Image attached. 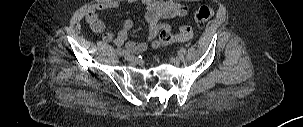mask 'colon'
Segmentation results:
<instances>
[{
  "instance_id": "5ec220e1",
  "label": "colon",
  "mask_w": 303,
  "mask_h": 127,
  "mask_svg": "<svg viewBox=\"0 0 303 127\" xmlns=\"http://www.w3.org/2000/svg\"><path fill=\"white\" fill-rule=\"evenodd\" d=\"M214 14V11L209 6H201L194 13L195 21L204 23L208 21ZM192 37V28L189 25H183L176 35H173L168 30H162L158 37L152 42L153 48H160L174 41H186Z\"/></svg>"
}]
</instances>
